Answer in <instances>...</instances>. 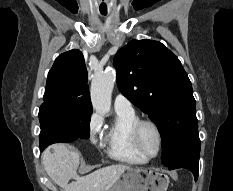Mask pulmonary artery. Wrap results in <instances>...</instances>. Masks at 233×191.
<instances>
[{"mask_svg":"<svg viewBox=\"0 0 233 191\" xmlns=\"http://www.w3.org/2000/svg\"><path fill=\"white\" fill-rule=\"evenodd\" d=\"M114 108L116 111H133L132 103L122 94L116 95L114 99Z\"/></svg>","mask_w":233,"mask_h":191,"instance_id":"e3ab8cb5","label":"pulmonary artery"}]
</instances>
